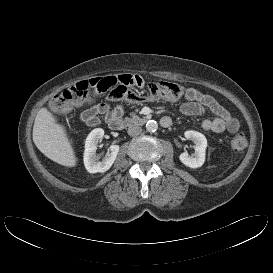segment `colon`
<instances>
[{
  "instance_id": "colon-1",
  "label": "colon",
  "mask_w": 273,
  "mask_h": 273,
  "mask_svg": "<svg viewBox=\"0 0 273 273\" xmlns=\"http://www.w3.org/2000/svg\"><path fill=\"white\" fill-rule=\"evenodd\" d=\"M137 82V75L130 74L83 80L55 96L50 108L54 115L64 116L74 107L90 103L94 93L105 92H108L107 96L110 100L125 99L129 102H137L139 100L137 94L129 89ZM183 92L184 87L175 82L158 81L148 84L150 99L175 100ZM247 144V138L243 133L236 134L231 141V147L236 152L243 151Z\"/></svg>"
}]
</instances>
